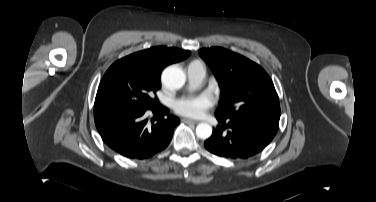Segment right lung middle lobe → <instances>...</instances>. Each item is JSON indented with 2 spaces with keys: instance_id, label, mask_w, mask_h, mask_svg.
Here are the masks:
<instances>
[{
  "instance_id": "right-lung-middle-lobe-1",
  "label": "right lung middle lobe",
  "mask_w": 376,
  "mask_h": 202,
  "mask_svg": "<svg viewBox=\"0 0 376 202\" xmlns=\"http://www.w3.org/2000/svg\"><path fill=\"white\" fill-rule=\"evenodd\" d=\"M161 87L160 78L128 59L116 61L103 76L95 99L94 113L109 109L147 110L156 106L152 95Z\"/></svg>"
}]
</instances>
